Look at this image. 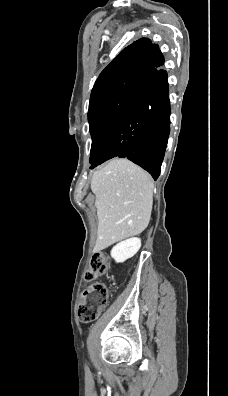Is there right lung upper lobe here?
Returning a JSON list of instances; mask_svg holds the SVG:
<instances>
[{
	"label": "right lung upper lobe",
	"instance_id": "obj_1",
	"mask_svg": "<svg viewBox=\"0 0 228 396\" xmlns=\"http://www.w3.org/2000/svg\"><path fill=\"white\" fill-rule=\"evenodd\" d=\"M158 50V46L152 44L151 40L148 38H141L135 41L124 48L101 72L93 89L107 80L123 76L137 70H145L143 63L144 60L155 54Z\"/></svg>",
	"mask_w": 228,
	"mask_h": 396
}]
</instances>
